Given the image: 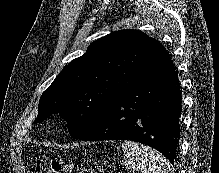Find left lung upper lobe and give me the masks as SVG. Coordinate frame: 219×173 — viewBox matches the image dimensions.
I'll return each instance as SVG.
<instances>
[{"label": "left lung upper lobe", "mask_w": 219, "mask_h": 173, "mask_svg": "<svg viewBox=\"0 0 219 173\" xmlns=\"http://www.w3.org/2000/svg\"><path fill=\"white\" fill-rule=\"evenodd\" d=\"M160 46L139 30L116 31L94 41L42 94L34 123L59 114L67 121L70 136L79 139L136 83L141 68Z\"/></svg>", "instance_id": "5c2ea615"}]
</instances>
